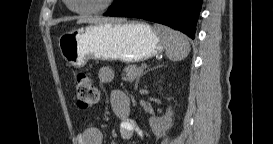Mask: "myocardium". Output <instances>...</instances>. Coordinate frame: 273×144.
Here are the masks:
<instances>
[{
    "label": "myocardium",
    "mask_w": 273,
    "mask_h": 144,
    "mask_svg": "<svg viewBox=\"0 0 273 144\" xmlns=\"http://www.w3.org/2000/svg\"><path fill=\"white\" fill-rule=\"evenodd\" d=\"M67 1L71 2L72 0H67ZM114 2L115 0H103L102 2H100V4H98L95 7L76 9L73 6H71V10L81 15L100 13V12L107 11L114 4Z\"/></svg>",
    "instance_id": "myocardium-1"
}]
</instances>
